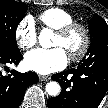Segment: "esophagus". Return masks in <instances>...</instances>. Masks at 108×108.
<instances>
[{"label": "esophagus", "mask_w": 108, "mask_h": 108, "mask_svg": "<svg viewBox=\"0 0 108 108\" xmlns=\"http://www.w3.org/2000/svg\"><path fill=\"white\" fill-rule=\"evenodd\" d=\"M39 80L40 81H48V80H50V77L49 76H39Z\"/></svg>", "instance_id": "esophagus-1"}]
</instances>
